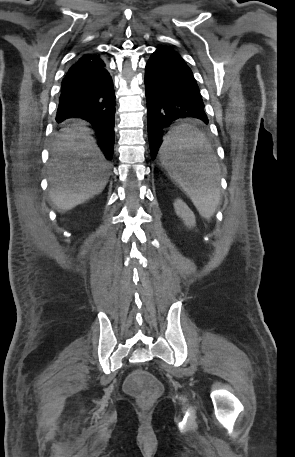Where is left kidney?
<instances>
[{
  "label": "left kidney",
  "mask_w": 295,
  "mask_h": 457,
  "mask_svg": "<svg viewBox=\"0 0 295 457\" xmlns=\"http://www.w3.org/2000/svg\"><path fill=\"white\" fill-rule=\"evenodd\" d=\"M176 214L184 221L187 227H193L196 224L195 216L190 208L180 199L174 203Z\"/></svg>",
  "instance_id": "left-kidney-1"
}]
</instances>
